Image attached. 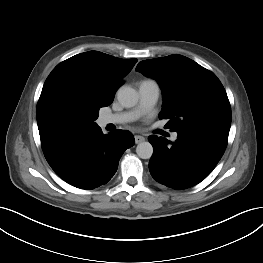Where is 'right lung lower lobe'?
Listing matches in <instances>:
<instances>
[{"label":"right lung lower lobe","mask_w":263,"mask_h":263,"mask_svg":"<svg viewBox=\"0 0 263 263\" xmlns=\"http://www.w3.org/2000/svg\"><path fill=\"white\" fill-rule=\"evenodd\" d=\"M40 139L54 172L72 186L87 190L106 184L115 174L122 154L135 143L127 130L103 135L99 126Z\"/></svg>","instance_id":"98d812e1"}]
</instances>
